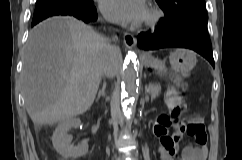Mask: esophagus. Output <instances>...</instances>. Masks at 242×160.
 Masks as SVG:
<instances>
[{"mask_svg": "<svg viewBox=\"0 0 242 160\" xmlns=\"http://www.w3.org/2000/svg\"><path fill=\"white\" fill-rule=\"evenodd\" d=\"M123 40H124V44L127 48H130V49H137L136 48V38L130 34V33H124L123 35ZM138 50V49H137ZM139 51V50H138Z\"/></svg>", "mask_w": 242, "mask_h": 160, "instance_id": "esophagus-1", "label": "esophagus"}]
</instances>
